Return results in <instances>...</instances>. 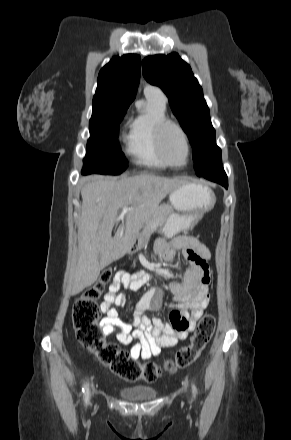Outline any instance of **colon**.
<instances>
[{
	"instance_id": "5ec220e1",
	"label": "colon",
	"mask_w": 291,
	"mask_h": 440,
	"mask_svg": "<svg viewBox=\"0 0 291 440\" xmlns=\"http://www.w3.org/2000/svg\"><path fill=\"white\" fill-rule=\"evenodd\" d=\"M112 276L111 268L103 269L99 280L89 286L74 303L72 323L76 337L81 344L94 354L98 361L107 364L115 374L130 382H154L162 371L171 373L177 368L192 364L200 356L214 333L216 321L212 314H206L199 320L190 343L182 347L174 359L166 360L162 369L154 363H137L117 345L103 339V333L98 324L100 313L97 300L104 293L105 285L112 279ZM170 322L176 324L177 319H171Z\"/></svg>"
}]
</instances>
